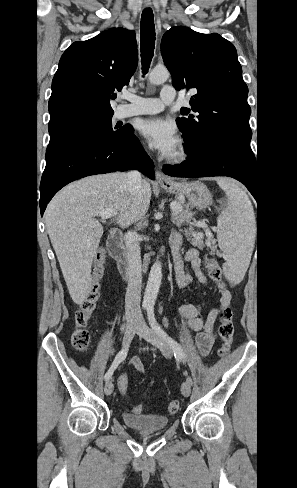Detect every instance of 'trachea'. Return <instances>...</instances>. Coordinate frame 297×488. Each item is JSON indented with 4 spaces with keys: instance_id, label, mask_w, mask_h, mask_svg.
Listing matches in <instances>:
<instances>
[{
    "instance_id": "obj_1",
    "label": "trachea",
    "mask_w": 297,
    "mask_h": 488,
    "mask_svg": "<svg viewBox=\"0 0 297 488\" xmlns=\"http://www.w3.org/2000/svg\"><path fill=\"white\" fill-rule=\"evenodd\" d=\"M140 25L142 72L146 74L155 48V25L153 12L150 8L144 9Z\"/></svg>"
}]
</instances>
